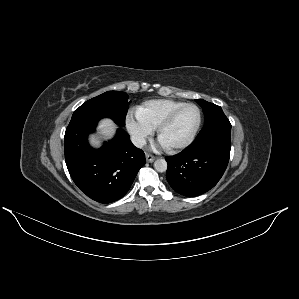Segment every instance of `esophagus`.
<instances>
[{
    "instance_id": "1",
    "label": "esophagus",
    "mask_w": 299,
    "mask_h": 299,
    "mask_svg": "<svg viewBox=\"0 0 299 299\" xmlns=\"http://www.w3.org/2000/svg\"><path fill=\"white\" fill-rule=\"evenodd\" d=\"M156 158L157 157L152 154H149V153L146 154V161L149 163L153 162Z\"/></svg>"
}]
</instances>
